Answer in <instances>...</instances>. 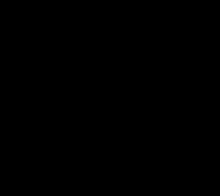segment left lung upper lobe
I'll return each instance as SVG.
<instances>
[{"mask_svg":"<svg viewBox=\"0 0 220 196\" xmlns=\"http://www.w3.org/2000/svg\"><path fill=\"white\" fill-rule=\"evenodd\" d=\"M188 90L185 77L174 67L160 72L157 89L158 115L155 132L167 136L182 121L187 107Z\"/></svg>","mask_w":220,"mask_h":196,"instance_id":"1","label":"left lung upper lobe"}]
</instances>
